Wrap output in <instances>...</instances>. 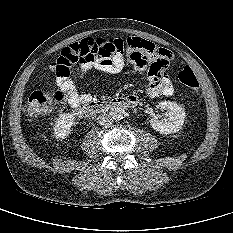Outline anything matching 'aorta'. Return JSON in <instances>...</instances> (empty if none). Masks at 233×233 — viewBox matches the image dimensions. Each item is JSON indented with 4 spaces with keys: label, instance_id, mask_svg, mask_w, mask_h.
Masks as SVG:
<instances>
[{
    "label": "aorta",
    "instance_id": "aorta-1",
    "mask_svg": "<svg viewBox=\"0 0 233 233\" xmlns=\"http://www.w3.org/2000/svg\"><path fill=\"white\" fill-rule=\"evenodd\" d=\"M109 116L112 120H122L126 116V112L118 107L112 108L109 112Z\"/></svg>",
    "mask_w": 233,
    "mask_h": 233
}]
</instances>
